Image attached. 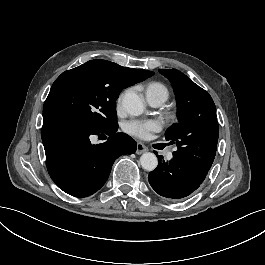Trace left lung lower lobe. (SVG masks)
<instances>
[{
    "label": "left lung lower lobe",
    "mask_w": 265,
    "mask_h": 265,
    "mask_svg": "<svg viewBox=\"0 0 265 265\" xmlns=\"http://www.w3.org/2000/svg\"><path fill=\"white\" fill-rule=\"evenodd\" d=\"M206 176L173 157L169 162L159 159L157 168L149 173L151 187L159 195L170 199H183L202 184Z\"/></svg>",
    "instance_id": "obj_1"
}]
</instances>
